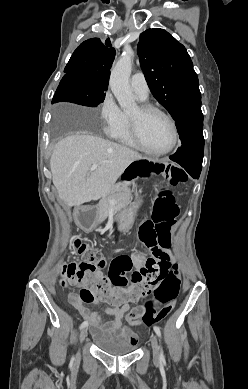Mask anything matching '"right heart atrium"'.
I'll return each instance as SVG.
<instances>
[{"instance_id": "obj_1", "label": "right heart atrium", "mask_w": 248, "mask_h": 389, "mask_svg": "<svg viewBox=\"0 0 248 389\" xmlns=\"http://www.w3.org/2000/svg\"><path fill=\"white\" fill-rule=\"evenodd\" d=\"M99 117L103 131L109 136H113L121 126L123 112L110 92L105 93L100 103Z\"/></svg>"}]
</instances>
